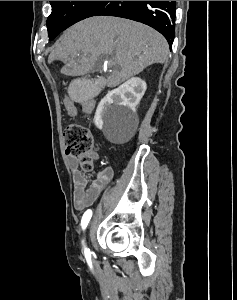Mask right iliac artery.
I'll use <instances>...</instances> for the list:
<instances>
[{
  "label": "right iliac artery",
  "instance_id": "82829eb1",
  "mask_svg": "<svg viewBox=\"0 0 237 300\" xmlns=\"http://www.w3.org/2000/svg\"><path fill=\"white\" fill-rule=\"evenodd\" d=\"M92 217V211L90 209H88L83 217H82V220H81V225H82V228L85 229L90 221ZM84 253H85V257L87 259V262L90 263V260H91V253H90V250L85 248L84 250Z\"/></svg>",
  "mask_w": 237,
  "mask_h": 300
}]
</instances>
